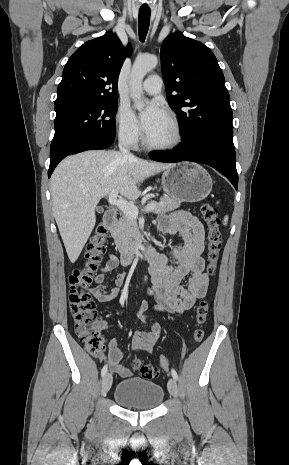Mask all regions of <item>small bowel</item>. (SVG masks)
<instances>
[{
	"label": "small bowel",
	"mask_w": 289,
	"mask_h": 465,
	"mask_svg": "<svg viewBox=\"0 0 289 465\" xmlns=\"http://www.w3.org/2000/svg\"><path fill=\"white\" fill-rule=\"evenodd\" d=\"M159 229L167 234L178 235L181 242L171 248L167 254H161L159 260L151 265L149 294L156 301L153 308L161 312H184L189 310L196 300L203 298L208 290L209 279L202 258L204 226L192 214L177 211L161 217ZM118 266V258L110 255L108 261L101 266L100 274L94 279L97 285L92 287L90 292L101 303L111 301L121 294L126 278L125 272L117 273L114 286L105 284L107 275ZM186 277H188L186 285H183ZM147 308L148 304L144 303L137 317L150 329L136 331L131 345L135 351L149 353L161 335V327L157 323L148 321L144 315ZM98 327L106 328L105 322H99ZM107 348V355H103L102 358L109 363L111 370L122 377L132 376V370L121 364L123 354L115 338L108 342Z\"/></svg>",
	"instance_id": "small-bowel-1"
}]
</instances>
